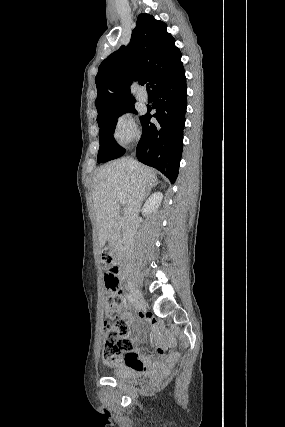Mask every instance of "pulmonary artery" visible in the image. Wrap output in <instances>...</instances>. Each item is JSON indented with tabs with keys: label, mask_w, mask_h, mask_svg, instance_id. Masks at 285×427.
<instances>
[{
	"label": "pulmonary artery",
	"mask_w": 285,
	"mask_h": 427,
	"mask_svg": "<svg viewBox=\"0 0 285 427\" xmlns=\"http://www.w3.org/2000/svg\"><path fill=\"white\" fill-rule=\"evenodd\" d=\"M137 98L142 102H146L148 100V95L144 88H139Z\"/></svg>",
	"instance_id": "1"
}]
</instances>
